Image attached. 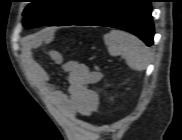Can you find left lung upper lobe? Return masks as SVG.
I'll list each match as a JSON object with an SVG mask.
<instances>
[{
	"mask_svg": "<svg viewBox=\"0 0 182 140\" xmlns=\"http://www.w3.org/2000/svg\"><path fill=\"white\" fill-rule=\"evenodd\" d=\"M102 1L32 0L23 12V24L26 28L70 25L82 18Z\"/></svg>",
	"mask_w": 182,
	"mask_h": 140,
	"instance_id": "obj_1",
	"label": "left lung upper lobe"
}]
</instances>
